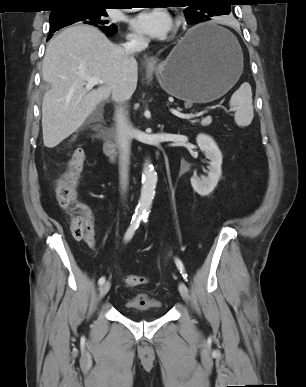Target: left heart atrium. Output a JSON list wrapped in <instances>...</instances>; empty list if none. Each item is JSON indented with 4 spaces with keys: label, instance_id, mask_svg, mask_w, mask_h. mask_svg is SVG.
Instances as JSON below:
<instances>
[{
    "label": "left heart atrium",
    "instance_id": "obj_1",
    "mask_svg": "<svg viewBox=\"0 0 306 387\" xmlns=\"http://www.w3.org/2000/svg\"><path fill=\"white\" fill-rule=\"evenodd\" d=\"M131 27L150 38H163L173 27L171 16L162 9H150L140 12L131 19Z\"/></svg>",
    "mask_w": 306,
    "mask_h": 387
}]
</instances>
